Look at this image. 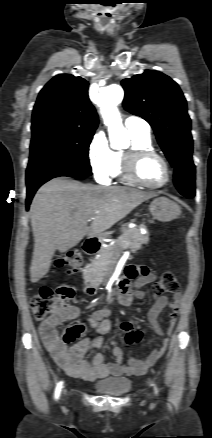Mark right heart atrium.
<instances>
[{
    "label": "right heart atrium",
    "mask_w": 212,
    "mask_h": 438,
    "mask_svg": "<svg viewBox=\"0 0 212 438\" xmlns=\"http://www.w3.org/2000/svg\"><path fill=\"white\" fill-rule=\"evenodd\" d=\"M87 157L95 179L100 183H108L114 161L103 131H98L92 136L87 149Z\"/></svg>",
    "instance_id": "d8ad5b80"
}]
</instances>
